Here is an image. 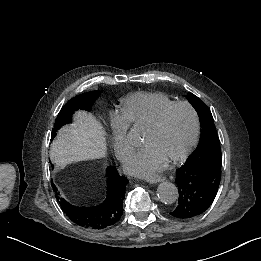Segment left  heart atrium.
<instances>
[{
	"instance_id": "obj_1",
	"label": "left heart atrium",
	"mask_w": 261,
	"mask_h": 261,
	"mask_svg": "<svg viewBox=\"0 0 261 261\" xmlns=\"http://www.w3.org/2000/svg\"><path fill=\"white\" fill-rule=\"evenodd\" d=\"M163 161L164 159L152 145L140 142L130 151L124 162V168L133 175L150 177L162 171Z\"/></svg>"
}]
</instances>
